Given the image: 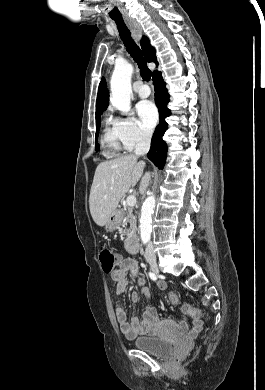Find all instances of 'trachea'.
I'll return each instance as SVG.
<instances>
[{
  "mask_svg": "<svg viewBox=\"0 0 265 390\" xmlns=\"http://www.w3.org/2000/svg\"><path fill=\"white\" fill-rule=\"evenodd\" d=\"M115 21L121 40L123 41L127 51L136 61L143 80L149 81L151 78V71L147 66V62L142 55V52L131 37L130 31L127 28L123 18H112Z\"/></svg>",
  "mask_w": 265,
  "mask_h": 390,
  "instance_id": "3493384b",
  "label": "trachea"
}]
</instances>
